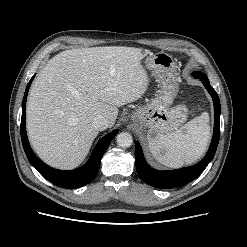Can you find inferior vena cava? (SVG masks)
<instances>
[{"instance_id":"1","label":"inferior vena cava","mask_w":247,"mask_h":247,"mask_svg":"<svg viewBox=\"0 0 247 247\" xmlns=\"http://www.w3.org/2000/svg\"><path fill=\"white\" fill-rule=\"evenodd\" d=\"M91 125L98 131H103L108 128L109 122L103 115H97L92 119Z\"/></svg>"}]
</instances>
